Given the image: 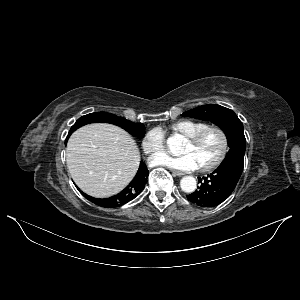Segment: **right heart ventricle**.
<instances>
[{
    "instance_id": "right-heart-ventricle-1",
    "label": "right heart ventricle",
    "mask_w": 300,
    "mask_h": 300,
    "mask_svg": "<svg viewBox=\"0 0 300 300\" xmlns=\"http://www.w3.org/2000/svg\"><path fill=\"white\" fill-rule=\"evenodd\" d=\"M207 124V122L200 120L180 119L171 125V130L174 133H178L184 137H188L196 133Z\"/></svg>"
}]
</instances>
